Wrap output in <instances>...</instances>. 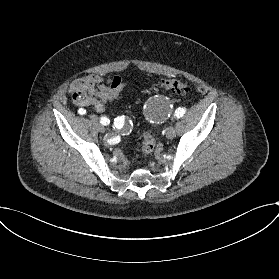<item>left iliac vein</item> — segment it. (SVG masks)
Returning <instances> with one entry per match:
<instances>
[{
    "instance_id": "1",
    "label": "left iliac vein",
    "mask_w": 279,
    "mask_h": 279,
    "mask_svg": "<svg viewBox=\"0 0 279 279\" xmlns=\"http://www.w3.org/2000/svg\"><path fill=\"white\" fill-rule=\"evenodd\" d=\"M166 136L169 139H173L174 138V136H175V129L172 126L169 127V129L167 130Z\"/></svg>"
}]
</instances>
